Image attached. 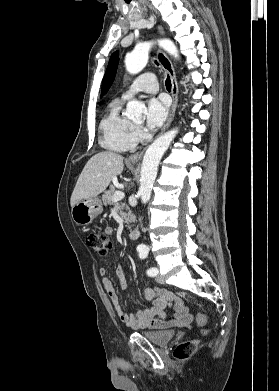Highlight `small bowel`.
I'll use <instances>...</instances> for the list:
<instances>
[{
	"label": "small bowel",
	"mask_w": 279,
	"mask_h": 391,
	"mask_svg": "<svg viewBox=\"0 0 279 391\" xmlns=\"http://www.w3.org/2000/svg\"><path fill=\"white\" fill-rule=\"evenodd\" d=\"M112 230H106L107 235H112ZM103 287L110 298L119 319L132 329H167L172 327H189L192 324V315L183 301L166 289L149 287L145 290V298L152 302L150 308L133 313H126L120 303L112 281L106 276V269L100 268ZM116 275L120 288H128L127 279L123 267L116 266ZM171 307L174 314L167 318L166 308Z\"/></svg>",
	"instance_id": "small-bowel-1"
}]
</instances>
